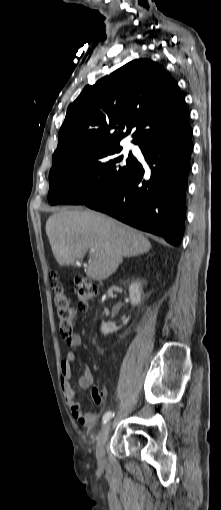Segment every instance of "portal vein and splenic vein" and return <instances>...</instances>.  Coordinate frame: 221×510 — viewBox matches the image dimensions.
Returning <instances> with one entry per match:
<instances>
[{"instance_id":"18ae733b","label":"portal vein and splenic vein","mask_w":221,"mask_h":510,"mask_svg":"<svg viewBox=\"0 0 221 510\" xmlns=\"http://www.w3.org/2000/svg\"><path fill=\"white\" fill-rule=\"evenodd\" d=\"M92 252H94L95 250L94 249H91Z\"/></svg>"}]
</instances>
